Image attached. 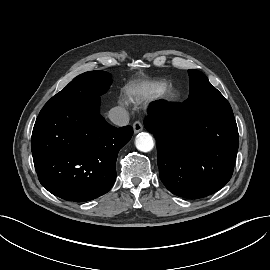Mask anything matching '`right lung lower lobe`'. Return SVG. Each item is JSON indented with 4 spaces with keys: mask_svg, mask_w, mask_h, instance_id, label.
Returning a JSON list of instances; mask_svg holds the SVG:
<instances>
[{
    "mask_svg": "<svg viewBox=\"0 0 270 270\" xmlns=\"http://www.w3.org/2000/svg\"><path fill=\"white\" fill-rule=\"evenodd\" d=\"M100 100L41 110L31 149L40 183L64 200L85 202L107 193L116 180L119 150L133 134L100 115Z\"/></svg>",
    "mask_w": 270,
    "mask_h": 270,
    "instance_id": "98d812e1",
    "label": "right lung lower lobe"
}]
</instances>
